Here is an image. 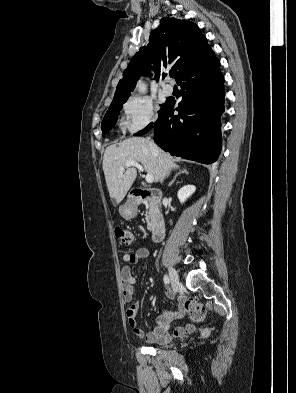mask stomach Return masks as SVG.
Wrapping results in <instances>:
<instances>
[{
    "instance_id": "0dacf381",
    "label": "stomach",
    "mask_w": 296,
    "mask_h": 393,
    "mask_svg": "<svg viewBox=\"0 0 296 393\" xmlns=\"http://www.w3.org/2000/svg\"><path fill=\"white\" fill-rule=\"evenodd\" d=\"M119 213L124 219L130 220L137 214L136 206L133 203L127 201L119 207Z\"/></svg>"
}]
</instances>
